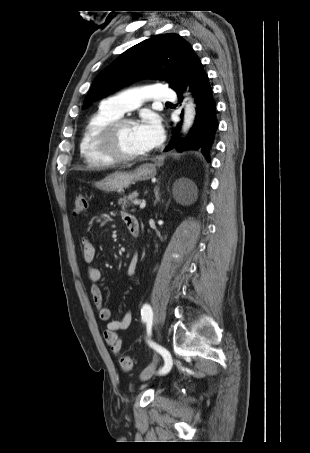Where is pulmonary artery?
Returning a JSON list of instances; mask_svg holds the SVG:
<instances>
[{
	"label": "pulmonary artery",
	"instance_id": "e3ab8cb5",
	"mask_svg": "<svg viewBox=\"0 0 310 453\" xmlns=\"http://www.w3.org/2000/svg\"><path fill=\"white\" fill-rule=\"evenodd\" d=\"M175 98L176 95L172 89L163 84H155L117 93L105 100L102 105L121 116L125 112L136 109L146 100L172 101Z\"/></svg>",
	"mask_w": 310,
	"mask_h": 453
}]
</instances>
